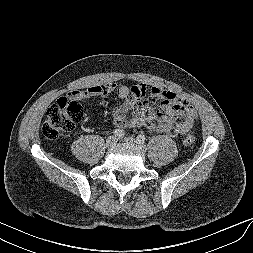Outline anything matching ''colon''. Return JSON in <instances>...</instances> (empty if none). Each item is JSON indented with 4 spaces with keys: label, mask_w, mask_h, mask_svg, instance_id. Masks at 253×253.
<instances>
[{
    "label": "colon",
    "mask_w": 253,
    "mask_h": 253,
    "mask_svg": "<svg viewBox=\"0 0 253 253\" xmlns=\"http://www.w3.org/2000/svg\"><path fill=\"white\" fill-rule=\"evenodd\" d=\"M83 115V107L79 100L59 98L48 109L42 133L47 139H57L72 131ZM186 146L194 143V136L189 134L184 140Z\"/></svg>",
    "instance_id": "obj_1"
}]
</instances>
